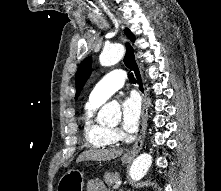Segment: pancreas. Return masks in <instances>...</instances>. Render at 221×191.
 <instances>
[{"mask_svg":"<svg viewBox=\"0 0 221 191\" xmlns=\"http://www.w3.org/2000/svg\"><path fill=\"white\" fill-rule=\"evenodd\" d=\"M120 179V175L118 173L112 174V173H105L104 175V181L108 186H113L116 184Z\"/></svg>","mask_w":221,"mask_h":191,"instance_id":"cf45deb5","label":"pancreas"}]
</instances>
